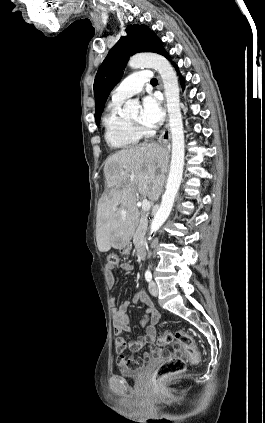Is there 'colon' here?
<instances>
[{
	"label": "colon",
	"instance_id": "1",
	"mask_svg": "<svg viewBox=\"0 0 265 423\" xmlns=\"http://www.w3.org/2000/svg\"><path fill=\"white\" fill-rule=\"evenodd\" d=\"M119 257L116 253L108 254V264L117 266ZM176 342L177 348L182 349L193 361L198 360L199 354L194 347L193 338L184 330L176 332L163 331L158 337L160 345H168ZM120 352H124V345H121ZM122 365L126 367H137L133 360H126ZM186 369V360L183 357L175 356L161 363L154 373V378L161 381L166 377L184 372Z\"/></svg>",
	"mask_w": 265,
	"mask_h": 423
}]
</instances>
